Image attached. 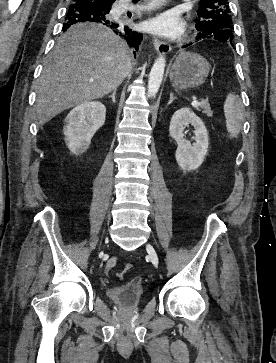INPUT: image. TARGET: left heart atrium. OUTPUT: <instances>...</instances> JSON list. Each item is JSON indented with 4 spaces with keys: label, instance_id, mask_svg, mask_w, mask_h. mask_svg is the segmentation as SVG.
<instances>
[{
    "label": "left heart atrium",
    "instance_id": "obj_1",
    "mask_svg": "<svg viewBox=\"0 0 276 363\" xmlns=\"http://www.w3.org/2000/svg\"><path fill=\"white\" fill-rule=\"evenodd\" d=\"M147 27L158 35L175 38L184 28V22L175 11H166L147 21Z\"/></svg>",
    "mask_w": 276,
    "mask_h": 363
}]
</instances>
